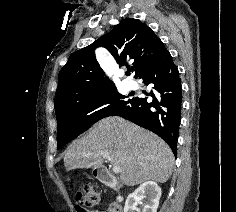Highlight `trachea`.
<instances>
[{
    "instance_id": "3493384b",
    "label": "trachea",
    "mask_w": 236,
    "mask_h": 212,
    "mask_svg": "<svg viewBox=\"0 0 236 212\" xmlns=\"http://www.w3.org/2000/svg\"><path fill=\"white\" fill-rule=\"evenodd\" d=\"M130 72H131V71L129 70V71L127 72V74L130 75Z\"/></svg>"
}]
</instances>
